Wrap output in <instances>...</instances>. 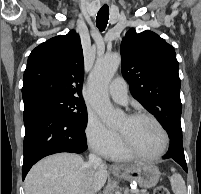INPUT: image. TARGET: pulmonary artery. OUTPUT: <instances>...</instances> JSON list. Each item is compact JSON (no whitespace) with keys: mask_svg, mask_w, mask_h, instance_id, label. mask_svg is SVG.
Returning <instances> with one entry per match:
<instances>
[{"mask_svg":"<svg viewBox=\"0 0 201 194\" xmlns=\"http://www.w3.org/2000/svg\"><path fill=\"white\" fill-rule=\"evenodd\" d=\"M108 92L110 97L121 104L128 100L127 83L122 77H116L109 85Z\"/></svg>","mask_w":201,"mask_h":194,"instance_id":"pulmonary-artery-1","label":"pulmonary artery"}]
</instances>
